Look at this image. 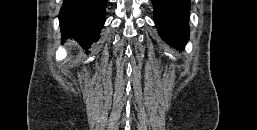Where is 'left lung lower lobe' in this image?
<instances>
[{
  "label": "left lung lower lobe",
  "instance_id": "0a47b994",
  "mask_svg": "<svg viewBox=\"0 0 257 130\" xmlns=\"http://www.w3.org/2000/svg\"><path fill=\"white\" fill-rule=\"evenodd\" d=\"M154 21L161 37L170 45L183 48L189 38V0H151Z\"/></svg>",
  "mask_w": 257,
  "mask_h": 130
}]
</instances>
